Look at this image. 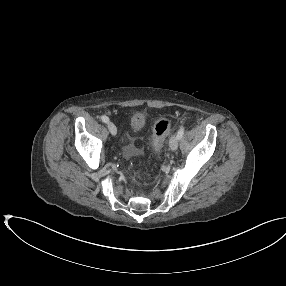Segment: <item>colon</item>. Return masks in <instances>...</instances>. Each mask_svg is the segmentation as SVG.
Instances as JSON below:
<instances>
[{"mask_svg":"<svg viewBox=\"0 0 286 286\" xmlns=\"http://www.w3.org/2000/svg\"><path fill=\"white\" fill-rule=\"evenodd\" d=\"M171 121L168 118L159 119L153 129V148L156 153H160L166 137L170 131ZM137 148L134 145H129L125 148L124 154L127 157L135 155Z\"/></svg>","mask_w":286,"mask_h":286,"instance_id":"1","label":"colon"}]
</instances>
